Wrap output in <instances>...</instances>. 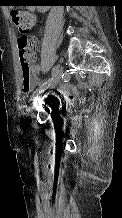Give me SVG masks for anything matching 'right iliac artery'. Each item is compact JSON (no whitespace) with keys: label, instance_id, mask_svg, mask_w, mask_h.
<instances>
[{"label":"right iliac artery","instance_id":"right-iliac-artery-1","mask_svg":"<svg viewBox=\"0 0 122 218\" xmlns=\"http://www.w3.org/2000/svg\"><path fill=\"white\" fill-rule=\"evenodd\" d=\"M55 67L53 68V70H52V76L47 80V81H45L44 83H42L40 86H39V88H37L35 91H34V93L32 94V98H35L41 91H42V89H43V87H45L46 85H47V83L49 82V80L50 79H52L53 78V76L55 75Z\"/></svg>","mask_w":122,"mask_h":218}]
</instances>
